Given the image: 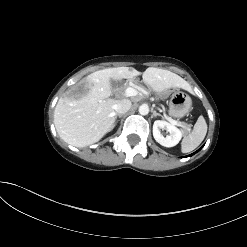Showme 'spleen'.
Segmentation results:
<instances>
[{"label": "spleen", "mask_w": 247, "mask_h": 247, "mask_svg": "<svg viewBox=\"0 0 247 247\" xmlns=\"http://www.w3.org/2000/svg\"><path fill=\"white\" fill-rule=\"evenodd\" d=\"M207 133V124L203 116H199L192 132L185 136L181 142L182 153H189L197 148Z\"/></svg>", "instance_id": "obj_1"}]
</instances>
